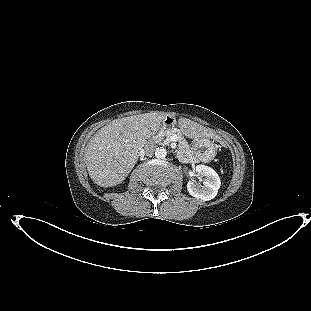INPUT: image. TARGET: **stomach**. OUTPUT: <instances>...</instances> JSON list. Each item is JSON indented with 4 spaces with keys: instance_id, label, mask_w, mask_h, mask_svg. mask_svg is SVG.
<instances>
[{
    "instance_id": "1",
    "label": "stomach",
    "mask_w": 311,
    "mask_h": 311,
    "mask_svg": "<svg viewBox=\"0 0 311 311\" xmlns=\"http://www.w3.org/2000/svg\"><path fill=\"white\" fill-rule=\"evenodd\" d=\"M186 136L194 139L193 142V152L202 161H210L216 155L215 145L208 139L204 137H192L191 132H185L181 130Z\"/></svg>"
}]
</instances>
